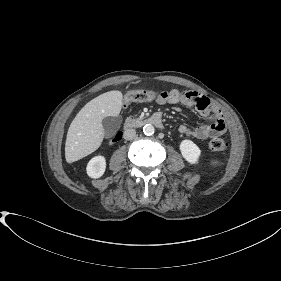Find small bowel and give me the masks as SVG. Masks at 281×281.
Instances as JSON below:
<instances>
[{"mask_svg":"<svg viewBox=\"0 0 281 281\" xmlns=\"http://www.w3.org/2000/svg\"><path fill=\"white\" fill-rule=\"evenodd\" d=\"M156 103L160 105L181 104L188 107L194 106L201 115L208 118L207 123L194 128L186 125L179 126L178 131L182 135L204 140L226 132V124L218 106L198 92L177 89L164 91L156 99Z\"/></svg>","mask_w":281,"mask_h":281,"instance_id":"small-bowel-1","label":"small bowel"}]
</instances>
